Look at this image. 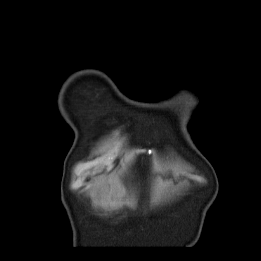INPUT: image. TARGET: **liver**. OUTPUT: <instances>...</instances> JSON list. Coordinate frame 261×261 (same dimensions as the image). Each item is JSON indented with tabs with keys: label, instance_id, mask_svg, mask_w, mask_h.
<instances>
[{
	"label": "liver",
	"instance_id": "obj_1",
	"mask_svg": "<svg viewBox=\"0 0 261 261\" xmlns=\"http://www.w3.org/2000/svg\"><path fill=\"white\" fill-rule=\"evenodd\" d=\"M100 181V192L102 193V197L104 199L105 204H109L113 200V187L109 186V182L103 183Z\"/></svg>",
	"mask_w": 261,
	"mask_h": 261
}]
</instances>
